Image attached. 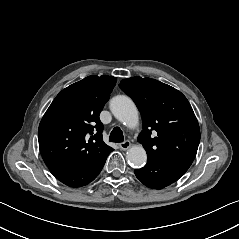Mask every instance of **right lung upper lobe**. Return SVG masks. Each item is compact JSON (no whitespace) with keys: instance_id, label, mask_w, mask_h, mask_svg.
<instances>
[{"instance_id":"obj_1","label":"right lung upper lobe","mask_w":239,"mask_h":239,"mask_svg":"<svg viewBox=\"0 0 239 239\" xmlns=\"http://www.w3.org/2000/svg\"><path fill=\"white\" fill-rule=\"evenodd\" d=\"M116 81L107 75L88 76L56 96L38 129L47 167L87 165L112 149L103 142L99 114Z\"/></svg>"}]
</instances>
